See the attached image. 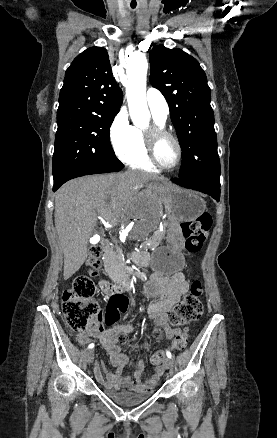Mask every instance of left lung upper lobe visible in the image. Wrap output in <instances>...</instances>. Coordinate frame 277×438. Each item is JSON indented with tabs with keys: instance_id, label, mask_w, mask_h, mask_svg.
Segmentation results:
<instances>
[{
	"instance_id": "left-lung-upper-lobe-1",
	"label": "left lung upper lobe",
	"mask_w": 277,
	"mask_h": 438,
	"mask_svg": "<svg viewBox=\"0 0 277 438\" xmlns=\"http://www.w3.org/2000/svg\"><path fill=\"white\" fill-rule=\"evenodd\" d=\"M150 82L165 96L183 153L179 177L220 180V161L210 105L211 90L198 61L181 49L153 47Z\"/></svg>"
}]
</instances>
